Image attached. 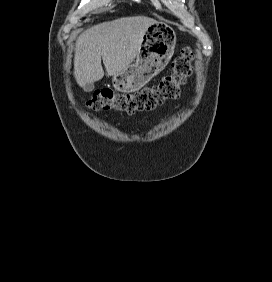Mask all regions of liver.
Listing matches in <instances>:
<instances>
[{
  "label": "liver",
  "mask_w": 272,
  "mask_h": 282,
  "mask_svg": "<svg viewBox=\"0 0 272 282\" xmlns=\"http://www.w3.org/2000/svg\"><path fill=\"white\" fill-rule=\"evenodd\" d=\"M156 20L145 16L122 17L100 23L82 33L74 56V76L80 87L104 76L103 60L109 76L124 71L137 56L143 36Z\"/></svg>",
  "instance_id": "6515ba94"
}]
</instances>
